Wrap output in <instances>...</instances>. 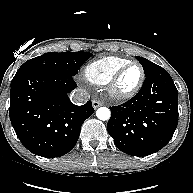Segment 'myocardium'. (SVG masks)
<instances>
[{
  "label": "myocardium",
  "mask_w": 193,
  "mask_h": 193,
  "mask_svg": "<svg viewBox=\"0 0 193 193\" xmlns=\"http://www.w3.org/2000/svg\"><path fill=\"white\" fill-rule=\"evenodd\" d=\"M132 66H137L140 69L141 76L140 80L137 83V85L131 89L130 91L127 92H122L119 90L118 85L119 81L122 77V75L125 73L127 69H129ZM146 74L143 66L135 61H130L129 63L123 65L120 67L111 77V79L108 82V93L109 95L117 100V101H126L134 97L142 88L144 82H145Z\"/></svg>",
  "instance_id": "f54148a6"
}]
</instances>
